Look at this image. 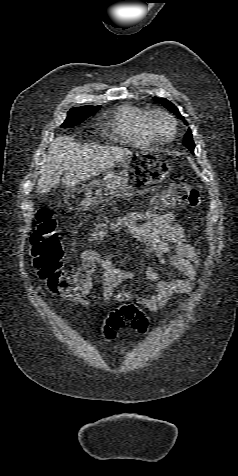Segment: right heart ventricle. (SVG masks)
<instances>
[{
  "label": "right heart ventricle",
  "instance_id": "e07e8e85",
  "mask_svg": "<svg viewBox=\"0 0 238 476\" xmlns=\"http://www.w3.org/2000/svg\"><path fill=\"white\" fill-rule=\"evenodd\" d=\"M147 110L125 104L118 108L114 118V130L125 143L136 147H149L154 144L146 132L144 120Z\"/></svg>",
  "mask_w": 238,
  "mask_h": 476
}]
</instances>
